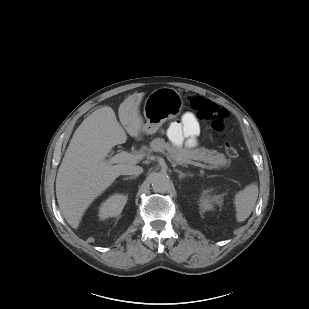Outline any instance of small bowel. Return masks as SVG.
Wrapping results in <instances>:
<instances>
[{
	"label": "small bowel",
	"mask_w": 309,
	"mask_h": 309,
	"mask_svg": "<svg viewBox=\"0 0 309 309\" xmlns=\"http://www.w3.org/2000/svg\"><path fill=\"white\" fill-rule=\"evenodd\" d=\"M168 133L174 144L181 145L185 137L186 145L193 147L196 144L195 138L199 133V124L192 113L186 112L181 121L170 124Z\"/></svg>",
	"instance_id": "small-bowel-1"
}]
</instances>
